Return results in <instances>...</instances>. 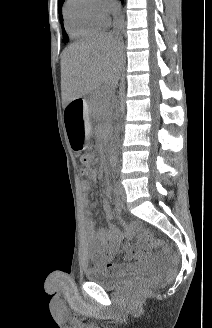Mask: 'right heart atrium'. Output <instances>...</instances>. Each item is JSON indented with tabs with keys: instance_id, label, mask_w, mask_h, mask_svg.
I'll return each instance as SVG.
<instances>
[{
	"instance_id": "right-heart-atrium-1",
	"label": "right heart atrium",
	"mask_w": 212,
	"mask_h": 328,
	"mask_svg": "<svg viewBox=\"0 0 212 328\" xmlns=\"http://www.w3.org/2000/svg\"><path fill=\"white\" fill-rule=\"evenodd\" d=\"M94 12L106 22L109 20L110 14L115 9L113 0H90Z\"/></svg>"
}]
</instances>
